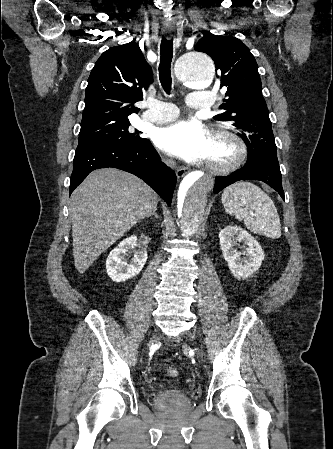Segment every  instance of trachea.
Returning a JSON list of instances; mask_svg holds the SVG:
<instances>
[{
    "label": "trachea",
    "instance_id": "trachea-1",
    "mask_svg": "<svg viewBox=\"0 0 333 449\" xmlns=\"http://www.w3.org/2000/svg\"><path fill=\"white\" fill-rule=\"evenodd\" d=\"M173 58V39L162 38L160 45L159 79L166 93H170L172 86L171 62Z\"/></svg>",
    "mask_w": 333,
    "mask_h": 449
}]
</instances>
